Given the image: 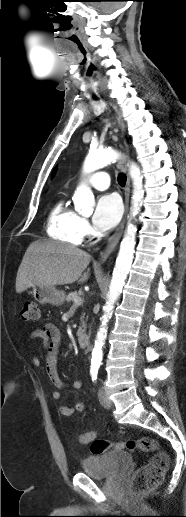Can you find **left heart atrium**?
<instances>
[{"label":"left heart atrium","instance_id":"39dd6f15","mask_svg":"<svg viewBox=\"0 0 186 517\" xmlns=\"http://www.w3.org/2000/svg\"><path fill=\"white\" fill-rule=\"evenodd\" d=\"M122 202L116 194L101 196L96 204L93 223L100 231L113 228L121 218Z\"/></svg>","mask_w":186,"mask_h":517}]
</instances>
